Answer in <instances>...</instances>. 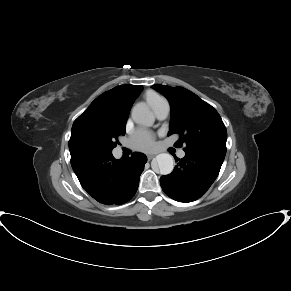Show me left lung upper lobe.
I'll list each match as a JSON object with an SVG mask.
<instances>
[{"label": "left lung upper lobe", "instance_id": "1", "mask_svg": "<svg viewBox=\"0 0 291 291\" xmlns=\"http://www.w3.org/2000/svg\"><path fill=\"white\" fill-rule=\"evenodd\" d=\"M171 106L168 135H181L176 145H186L185 151H197L219 156L226 155V127L214 107L182 87L155 84Z\"/></svg>", "mask_w": 291, "mask_h": 291}]
</instances>
